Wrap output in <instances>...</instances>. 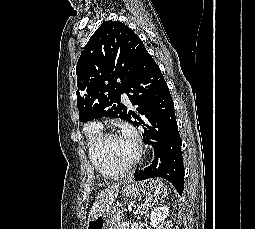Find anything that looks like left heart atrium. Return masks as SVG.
Wrapping results in <instances>:
<instances>
[{
	"label": "left heart atrium",
	"instance_id": "39dd6f15",
	"mask_svg": "<svg viewBox=\"0 0 255 229\" xmlns=\"http://www.w3.org/2000/svg\"><path fill=\"white\" fill-rule=\"evenodd\" d=\"M126 140H128L129 142L133 143V144H136L137 143V140H136V135L134 133V131L130 128H126L122 135Z\"/></svg>",
	"mask_w": 255,
	"mask_h": 229
}]
</instances>
